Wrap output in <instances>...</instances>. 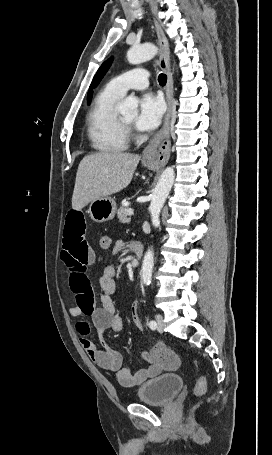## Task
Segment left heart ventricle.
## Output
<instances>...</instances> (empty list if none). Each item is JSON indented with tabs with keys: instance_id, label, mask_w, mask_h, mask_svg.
I'll return each mask as SVG.
<instances>
[{
	"instance_id": "b2bd125f",
	"label": "left heart ventricle",
	"mask_w": 272,
	"mask_h": 455,
	"mask_svg": "<svg viewBox=\"0 0 272 455\" xmlns=\"http://www.w3.org/2000/svg\"><path fill=\"white\" fill-rule=\"evenodd\" d=\"M122 118L127 122V123H130L132 124L135 119H136V115L134 113H131V114H126V115H123Z\"/></svg>"
}]
</instances>
